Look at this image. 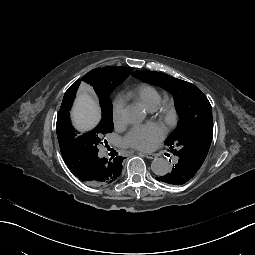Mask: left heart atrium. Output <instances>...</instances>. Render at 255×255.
I'll return each instance as SVG.
<instances>
[{"label": "left heart atrium", "mask_w": 255, "mask_h": 255, "mask_svg": "<svg viewBox=\"0 0 255 255\" xmlns=\"http://www.w3.org/2000/svg\"><path fill=\"white\" fill-rule=\"evenodd\" d=\"M163 138V131L156 126H139L124 138L127 146L141 150H152Z\"/></svg>", "instance_id": "left-heart-atrium-1"}]
</instances>
